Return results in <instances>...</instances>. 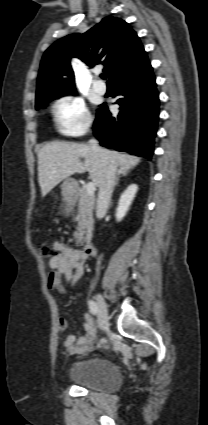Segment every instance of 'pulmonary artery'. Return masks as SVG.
<instances>
[{"label": "pulmonary artery", "instance_id": "pulmonary-artery-1", "mask_svg": "<svg viewBox=\"0 0 208 425\" xmlns=\"http://www.w3.org/2000/svg\"><path fill=\"white\" fill-rule=\"evenodd\" d=\"M93 89H94V91H95V92H97L98 94H105V93H106V91H107V87H106V85H105L103 82H101V81H96V82L93 84Z\"/></svg>", "mask_w": 208, "mask_h": 425}]
</instances>
